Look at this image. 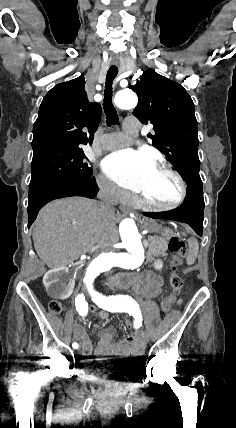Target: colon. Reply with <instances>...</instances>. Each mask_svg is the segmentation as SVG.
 Wrapping results in <instances>:
<instances>
[{
  "mask_svg": "<svg viewBox=\"0 0 236 428\" xmlns=\"http://www.w3.org/2000/svg\"><path fill=\"white\" fill-rule=\"evenodd\" d=\"M168 249L177 255L172 261V268L169 275V284L173 290V293L168 297H165L161 303L162 310L165 313H168L172 310V305L175 302L176 294L180 292L184 284L183 278L177 273V267L181 264L182 257L185 255V242L180 236L173 235L168 241ZM49 310L53 314L58 315L63 312V306L58 301H51L49 303ZM125 326L127 328H132V322L127 320L125 322Z\"/></svg>",
  "mask_w": 236,
  "mask_h": 428,
  "instance_id": "1",
  "label": "colon"
}]
</instances>
